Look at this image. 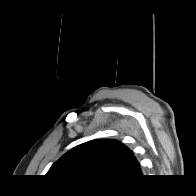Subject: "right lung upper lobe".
Returning <instances> with one entry per match:
<instances>
[{
	"mask_svg": "<svg viewBox=\"0 0 196 196\" xmlns=\"http://www.w3.org/2000/svg\"><path fill=\"white\" fill-rule=\"evenodd\" d=\"M85 184H120L141 177L138 161L128 147L112 139L83 143L64 154L46 174Z\"/></svg>",
	"mask_w": 196,
	"mask_h": 196,
	"instance_id": "1",
	"label": "right lung upper lobe"
}]
</instances>
